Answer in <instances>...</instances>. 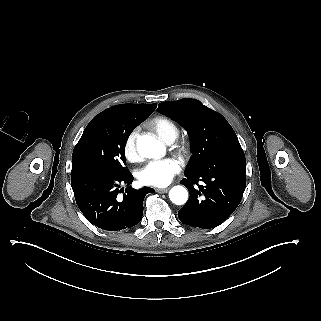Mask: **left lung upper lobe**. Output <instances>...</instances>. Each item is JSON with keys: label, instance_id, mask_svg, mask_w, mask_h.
Listing matches in <instances>:
<instances>
[{"label": "left lung upper lobe", "instance_id": "obj_1", "mask_svg": "<svg viewBox=\"0 0 321 321\" xmlns=\"http://www.w3.org/2000/svg\"><path fill=\"white\" fill-rule=\"evenodd\" d=\"M157 111L178 122L189 134L192 160L186 172L196 171L213 156L241 149L238 138L219 113L195 99H181L159 104Z\"/></svg>", "mask_w": 321, "mask_h": 321}]
</instances>
